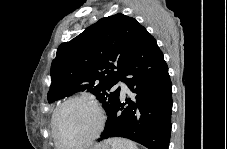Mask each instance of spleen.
Here are the masks:
<instances>
[{
    "label": "spleen",
    "instance_id": "1",
    "mask_svg": "<svg viewBox=\"0 0 227 149\" xmlns=\"http://www.w3.org/2000/svg\"><path fill=\"white\" fill-rule=\"evenodd\" d=\"M111 146V149H138L137 145L124 138H112L106 141Z\"/></svg>",
    "mask_w": 227,
    "mask_h": 149
}]
</instances>
